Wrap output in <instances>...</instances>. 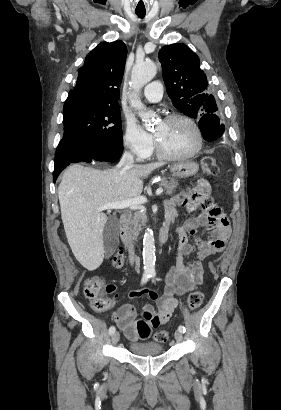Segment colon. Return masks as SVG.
I'll return each instance as SVG.
<instances>
[{"label":"colon","mask_w":281,"mask_h":410,"mask_svg":"<svg viewBox=\"0 0 281 410\" xmlns=\"http://www.w3.org/2000/svg\"><path fill=\"white\" fill-rule=\"evenodd\" d=\"M202 169L208 176H216L219 172V166L212 157L202 159ZM200 207L210 216H222L221 211L214 198L207 195L202 198ZM124 258L121 252H117L112 257V264L115 267L123 265ZM114 287L107 284L104 275L98 274L88 277L84 282V293L91 301L92 308L97 312H103L110 307L108 294L113 292ZM203 294L201 291L192 292L187 299V307L190 311L198 309L202 303ZM169 338V333L165 330H159L154 334V340L158 343H165Z\"/></svg>","instance_id":"colon-1"}]
</instances>
